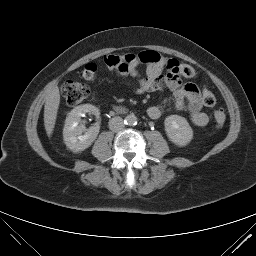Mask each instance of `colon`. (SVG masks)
<instances>
[{"instance_id":"colon-1","label":"colon","mask_w":256,"mask_h":256,"mask_svg":"<svg viewBox=\"0 0 256 256\" xmlns=\"http://www.w3.org/2000/svg\"><path fill=\"white\" fill-rule=\"evenodd\" d=\"M139 61L140 63H156L161 60V56L156 51H144L139 54H124V55H116L110 54L104 57L105 65L111 69L116 70L123 66L124 64H128L132 61ZM179 73L186 78H193L195 76V70L188 64L180 63L178 66ZM97 74V66L94 63H88L82 73L81 76L84 80L92 81L95 79ZM61 94L69 105H76L84 101L89 95V89L86 85L67 81L61 85ZM202 102L207 107H214L217 103L215 95L209 91L204 89L202 92ZM214 119L217 127L221 128L225 121L226 115L222 110L214 111Z\"/></svg>"}]
</instances>
